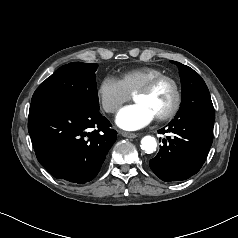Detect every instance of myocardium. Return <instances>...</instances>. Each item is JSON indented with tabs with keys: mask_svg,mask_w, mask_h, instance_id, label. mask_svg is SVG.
<instances>
[{
	"mask_svg": "<svg viewBox=\"0 0 238 238\" xmlns=\"http://www.w3.org/2000/svg\"><path fill=\"white\" fill-rule=\"evenodd\" d=\"M165 81L171 83V85L174 89V93H175V100H174L173 106L167 113H165L163 115L156 116V119L158 121L171 120L173 117H175V115L180 110V107L182 104V91H181V87H180L178 81L171 76H168L165 74L160 75V76L152 78L145 85H143L141 88H139L137 91H135L133 93V99L136 95L148 94L153 89H155L160 83L165 82Z\"/></svg>",
	"mask_w": 238,
	"mask_h": 238,
	"instance_id": "f54148a6",
	"label": "myocardium"
}]
</instances>
